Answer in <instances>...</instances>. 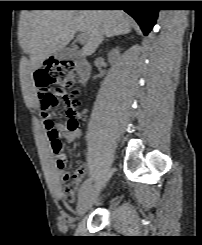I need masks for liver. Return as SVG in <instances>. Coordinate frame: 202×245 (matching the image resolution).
<instances>
[{
  "label": "liver",
  "mask_w": 202,
  "mask_h": 245,
  "mask_svg": "<svg viewBox=\"0 0 202 245\" xmlns=\"http://www.w3.org/2000/svg\"><path fill=\"white\" fill-rule=\"evenodd\" d=\"M132 20L119 10H35L20 36V46L38 69L57 50L65 48L80 31L86 40L84 56L92 55L104 36L128 34Z\"/></svg>",
  "instance_id": "obj_1"
}]
</instances>
